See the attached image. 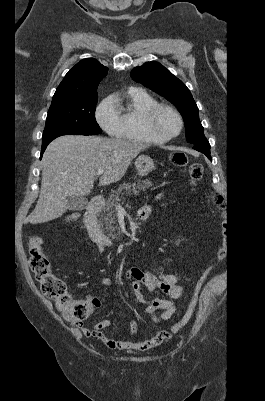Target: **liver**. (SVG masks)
<instances>
[{
  "label": "liver",
  "mask_w": 265,
  "mask_h": 401,
  "mask_svg": "<svg viewBox=\"0 0 265 401\" xmlns=\"http://www.w3.org/2000/svg\"><path fill=\"white\" fill-rule=\"evenodd\" d=\"M147 146V142L128 138L74 134L55 138L43 154L40 194L26 223L38 225L61 217L67 209V196L90 194L99 168H104L99 186L117 182Z\"/></svg>",
  "instance_id": "6515ba94"
}]
</instances>
